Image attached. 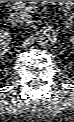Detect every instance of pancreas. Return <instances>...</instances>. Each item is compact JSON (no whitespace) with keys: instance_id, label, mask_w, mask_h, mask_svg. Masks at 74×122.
Instances as JSON below:
<instances>
[{"instance_id":"1","label":"pancreas","mask_w":74,"mask_h":122,"mask_svg":"<svg viewBox=\"0 0 74 122\" xmlns=\"http://www.w3.org/2000/svg\"><path fill=\"white\" fill-rule=\"evenodd\" d=\"M15 8H29L37 4L38 1H11Z\"/></svg>"}]
</instances>
